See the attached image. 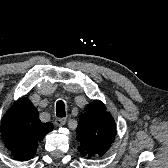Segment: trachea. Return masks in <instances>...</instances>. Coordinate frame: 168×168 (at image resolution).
<instances>
[{"label":"trachea","instance_id":"trachea-1","mask_svg":"<svg viewBox=\"0 0 168 168\" xmlns=\"http://www.w3.org/2000/svg\"><path fill=\"white\" fill-rule=\"evenodd\" d=\"M56 116L63 118L66 116L65 114V105L64 102L59 100L56 104Z\"/></svg>","mask_w":168,"mask_h":168}]
</instances>
